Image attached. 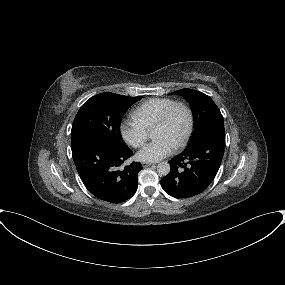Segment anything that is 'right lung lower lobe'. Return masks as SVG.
Returning <instances> with one entry per match:
<instances>
[{"label": "right lung lower lobe", "instance_id": "98d812e1", "mask_svg": "<svg viewBox=\"0 0 285 285\" xmlns=\"http://www.w3.org/2000/svg\"><path fill=\"white\" fill-rule=\"evenodd\" d=\"M72 156L85 187L97 198L121 203L131 198L138 186L137 174L141 163L120 166L132 156L128 147L118 149L87 134L71 138Z\"/></svg>", "mask_w": 285, "mask_h": 285}]
</instances>
